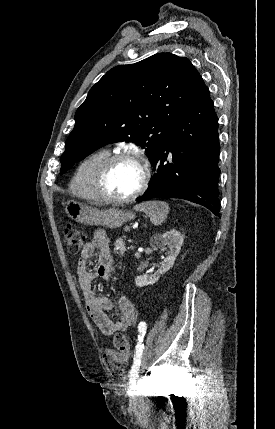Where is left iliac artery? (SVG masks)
<instances>
[{"label": "left iliac artery", "instance_id": "1", "mask_svg": "<svg viewBox=\"0 0 275 429\" xmlns=\"http://www.w3.org/2000/svg\"><path fill=\"white\" fill-rule=\"evenodd\" d=\"M146 330H147L146 322H144V321L140 322L138 325V331H139L138 341L139 342L136 346L135 358H134V362H133V365L131 367L130 374H129L130 381L132 383H134L136 381L138 373H139L141 358H142V354H143V350H144L143 339H144Z\"/></svg>", "mask_w": 275, "mask_h": 429}]
</instances>
